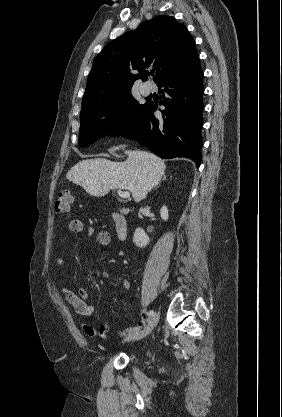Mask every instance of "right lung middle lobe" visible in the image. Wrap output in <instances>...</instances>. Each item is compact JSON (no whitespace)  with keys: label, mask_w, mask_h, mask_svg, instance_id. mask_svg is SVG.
Here are the masks:
<instances>
[{"label":"right lung middle lobe","mask_w":282,"mask_h":417,"mask_svg":"<svg viewBox=\"0 0 282 417\" xmlns=\"http://www.w3.org/2000/svg\"><path fill=\"white\" fill-rule=\"evenodd\" d=\"M145 105H140L130 90L83 99L78 145L87 147L106 135L118 137L129 131Z\"/></svg>","instance_id":"1"}]
</instances>
